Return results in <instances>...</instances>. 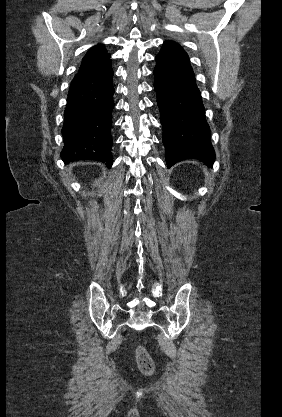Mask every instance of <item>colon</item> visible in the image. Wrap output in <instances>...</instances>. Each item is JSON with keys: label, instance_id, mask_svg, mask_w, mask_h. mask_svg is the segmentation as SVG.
I'll return each mask as SVG.
<instances>
[{"label": "colon", "instance_id": "colon-1", "mask_svg": "<svg viewBox=\"0 0 282 417\" xmlns=\"http://www.w3.org/2000/svg\"><path fill=\"white\" fill-rule=\"evenodd\" d=\"M136 362L138 364L139 370L146 374H151L155 370V363L151 355L146 351L145 347L142 344H139L136 347L134 352Z\"/></svg>", "mask_w": 282, "mask_h": 417}]
</instances>
